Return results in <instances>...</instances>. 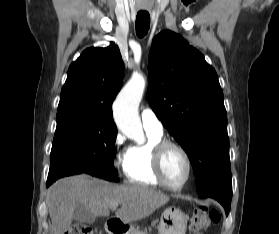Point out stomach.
<instances>
[{
    "label": "stomach",
    "mask_w": 279,
    "mask_h": 234,
    "mask_svg": "<svg viewBox=\"0 0 279 234\" xmlns=\"http://www.w3.org/2000/svg\"><path fill=\"white\" fill-rule=\"evenodd\" d=\"M188 215L177 208H168L162 215L158 225L159 234H185L187 228ZM134 227L129 225L128 234L134 231Z\"/></svg>",
    "instance_id": "1"
}]
</instances>
